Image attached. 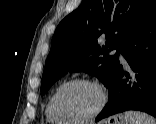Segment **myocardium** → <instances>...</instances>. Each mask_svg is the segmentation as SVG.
Here are the masks:
<instances>
[{
    "mask_svg": "<svg viewBox=\"0 0 156 124\" xmlns=\"http://www.w3.org/2000/svg\"><path fill=\"white\" fill-rule=\"evenodd\" d=\"M79 84H87V85H91V86L95 87L100 94V103H99L98 107L96 108V110L89 116H86L84 118H73V117L67 116L60 110L59 98H60L61 94L67 88L74 86V85H79ZM107 103H108V92H107L106 88L104 87V85L96 79L83 77V78H75V79H72V80H69V81H66L65 83H63L58 88V90L56 91V93L53 97L52 108H53L55 114L62 120L66 121L68 123L82 124V123H87V122L95 120L103 112V110L107 106Z\"/></svg>",
    "mask_w": 156,
    "mask_h": 124,
    "instance_id": "1",
    "label": "myocardium"
}]
</instances>
